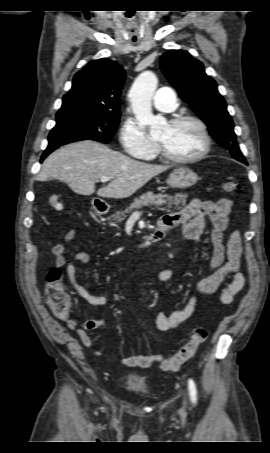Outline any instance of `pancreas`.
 <instances>
[{
    "label": "pancreas",
    "instance_id": "cf45deb5",
    "mask_svg": "<svg viewBox=\"0 0 270 453\" xmlns=\"http://www.w3.org/2000/svg\"><path fill=\"white\" fill-rule=\"evenodd\" d=\"M187 194L177 193L174 196L167 194H154L153 192H147L136 198L133 203L125 210L118 211L115 214L108 217L111 225L122 222L126 218V214L131 213L134 210H138L143 206L154 207L157 210L165 211L171 208L180 209L181 206L186 204ZM159 201L166 202V206H163Z\"/></svg>",
    "mask_w": 270,
    "mask_h": 453
}]
</instances>
